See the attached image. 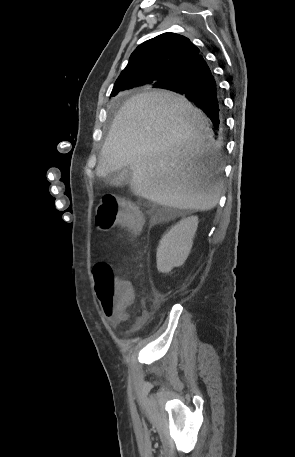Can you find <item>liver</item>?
<instances>
[{
    "label": "liver",
    "instance_id": "6515ba94",
    "mask_svg": "<svg viewBox=\"0 0 295 457\" xmlns=\"http://www.w3.org/2000/svg\"><path fill=\"white\" fill-rule=\"evenodd\" d=\"M212 136L208 118L186 98L165 90L134 95L112 122L96 175L129 166L135 194L170 208L211 210L222 187Z\"/></svg>",
    "mask_w": 295,
    "mask_h": 457
}]
</instances>
